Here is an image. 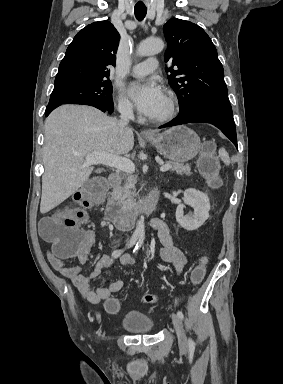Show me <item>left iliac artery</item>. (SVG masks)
Here are the masks:
<instances>
[{"mask_svg":"<svg viewBox=\"0 0 283 384\" xmlns=\"http://www.w3.org/2000/svg\"><path fill=\"white\" fill-rule=\"evenodd\" d=\"M142 243H143V238H140L139 241H138V243L136 244L134 250H133V253H137V252H138V250L140 249ZM177 315H178V317H179L180 319H183V318H184V315H183L182 311H178V312H177ZM188 344H189V348H190L191 350H193V349L195 348V342H194L191 338L189 339Z\"/></svg>","mask_w":283,"mask_h":384,"instance_id":"1","label":"left iliac artery"}]
</instances>
